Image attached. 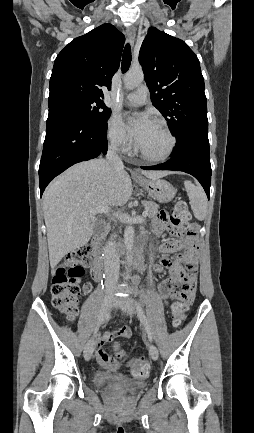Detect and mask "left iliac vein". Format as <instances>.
I'll list each match as a JSON object with an SVG mask.
<instances>
[{
  "label": "left iliac vein",
  "mask_w": 254,
  "mask_h": 433,
  "mask_svg": "<svg viewBox=\"0 0 254 433\" xmlns=\"http://www.w3.org/2000/svg\"><path fill=\"white\" fill-rule=\"evenodd\" d=\"M119 303H120V300L116 299L115 304L117 305ZM123 303H124V310L128 314L133 315L135 313V309H136V305H135L134 300L131 297H127L124 299ZM148 350H149V354H150L151 358L154 360H157L158 356H159V352H158L157 347L153 344H149Z\"/></svg>",
  "instance_id": "left-iliac-vein-1"
}]
</instances>
